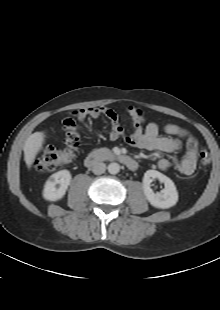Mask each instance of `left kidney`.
Listing matches in <instances>:
<instances>
[{"label": "left kidney", "instance_id": "obj_1", "mask_svg": "<svg viewBox=\"0 0 220 310\" xmlns=\"http://www.w3.org/2000/svg\"><path fill=\"white\" fill-rule=\"evenodd\" d=\"M155 178L164 183L165 186V188L158 193H154L151 189V183ZM143 191L150 204L156 208L168 209L173 207L178 201V192L174 182L169 177L156 170H148L145 172L143 177Z\"/></svg>", "mask_w": 220, "mask_h": 310}]
</instances>
